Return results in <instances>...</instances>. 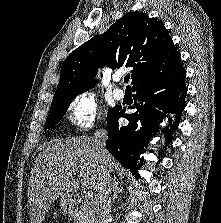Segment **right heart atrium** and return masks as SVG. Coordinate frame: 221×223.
Here are the masks:
<instances>
[{
    "label": "right heart atrium",
    "mask_w": 221,
    "mask_h": 223,
    "mask_svg": "<svg viewBox=\"0 0 221 223\" xmlns=\"http://www.w3.org/2000/svg\"><path fill=\"white\" fill-rule=\"evenodd\" d=\"M101 119L99 102L90 93L77 94L67 105V125L73 132L80 133L89 130Z\"/></svg>",
    "instance_id": "d8ad5b80"
}]
</instances>
